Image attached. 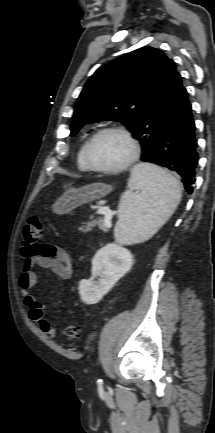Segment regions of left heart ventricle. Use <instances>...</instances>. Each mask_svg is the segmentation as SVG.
Masks as SVG:
<instances>
[{
  "mask_svg": "<svg viewBox=\"0 0 215 433\" xmlns=\"http://www.w3.org/2000/svg\"><path fill=\"white\" fill-rule=\"evenodd\" d=\"M129 155V143L116 133L102 135L91 148V159L99 167H117L123 164Z\"/></svg>",
  "mask_w": 215,
  "mask_h": 433,
  "instance_id": "left-heart-ventricle-1",
  "label": "left heart ventricle"
}]
</instances>
